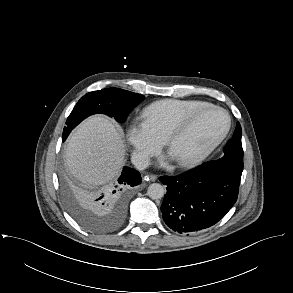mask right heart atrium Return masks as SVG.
Here are the masks:
<instances>
[{
    "label": "right heart atrium",
    "instance_id": "right-heart-atrium-1",
    "mask_svg": "<svg viewBox=\"0 0 293 293\" xmlns=\"http://www.w3.org/2000/svg\"><path fill=\"white\" fill-rule=\"evenodd\" d=\"M126 138L133 148V159L138 165L145 164L164 144V139L141 118L128 124Z\"/></svg>",
    "mask_w": 293,
    "mask_h": 293
}]
</instances>
